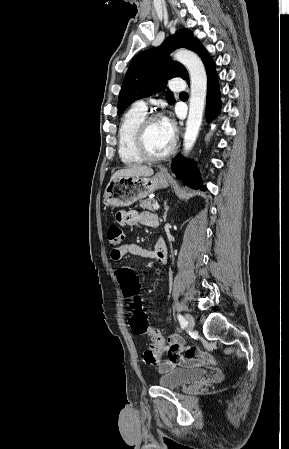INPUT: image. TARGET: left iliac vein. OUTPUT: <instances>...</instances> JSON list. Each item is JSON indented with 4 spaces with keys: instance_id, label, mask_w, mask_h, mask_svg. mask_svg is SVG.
I'll return each mask as SVG.
<instances>
[{
    "instance_id": "4c4485c4",
    "label": "left iliac vein",
    "mask_w": 289,
    "mask_h": 449,
    "mask_svg": "<svg viewBox=\"0 0 289 449\" xmlns=\"http://www.w3.org/2000/svg\"><path fill=\"white\" fill-rule=\"evenodd\" d=\"M185 318H186V322H187V327H188V329L190 330V331H192L193 330V328H194V318L192 317V315H190V314H186L185 315Z\"/></svg>"
}]
</instances>
